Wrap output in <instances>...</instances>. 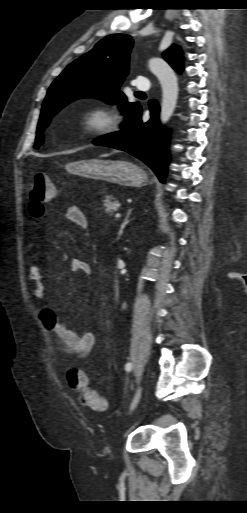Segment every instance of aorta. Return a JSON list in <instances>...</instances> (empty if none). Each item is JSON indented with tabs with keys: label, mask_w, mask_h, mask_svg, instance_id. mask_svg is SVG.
<instances>
[{
	"label": "aorta",
	"mask_w": 247,
	"mask_h": 513,
	"mask_svg": "<svg viewBox=\"0 0 247 513\" xmlns=\"http://www.w3.org/2000/svg\"><path fill=\"white\" fill-rule=\"evenodd\" d=\"M148 66L162 88L160 122L165 125L173 115L177 104L179 91L177 77L174 70L162 59L151 58Z\"/></svg>",
	"instance_id": "762f6f07"
}]
</instances>
